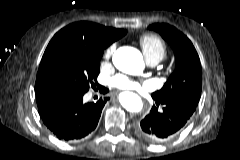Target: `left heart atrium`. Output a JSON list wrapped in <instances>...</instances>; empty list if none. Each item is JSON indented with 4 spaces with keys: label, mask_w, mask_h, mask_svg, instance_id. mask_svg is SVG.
Listing matches in <instances>:
<instances>
[{
    "label": "left heart atrium",
    "mask_w": 240,
    "mask_h": 160,
    "mask_svg": "<svg viewBox=\"0 0 240 160\" xmlns=\"http://www.w3.org/2000/svg\"><path fill=\"white\" fill-rule=\"evenodd\" d=\"M111 83L114 87L122 90L134 89L137 87L136 82L124 76L114 77Z\"/></svg>",
    "instance_id": "39dd6f15"
}]
</instances>
